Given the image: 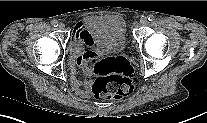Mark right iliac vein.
<instances>
[{"instance_id":"1","label":"right iliac vein","mask_w":207,"mask_h":123,"mask_svg":"<svg viewBox=\"0 0 207 123\" xmlns=\"http://www.w3.org/2000/svg\"><path fill=\"white\" fill-rule=\"evenodd\" d=\"M58 28L60 30H64L65 29V24L64 23H60L59 26H58Z\"/></svg>"}]
</instances>
